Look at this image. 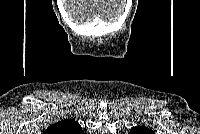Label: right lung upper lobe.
Wrapping results in <instances>:
<instances>
[{
	"instance_id": "cb5924a9",
	"label": "right lung upper lobe",
	"mask_w": 200,
	"mask_h": 134,
	"mask_svg": "<svg viewBox=\"0 0 200 134\" xmlns=\"http://www.w3.org/2000/svg\"><path fill=\"white\" fill-rule=\"evenodd\" d=\"M81 132V126L72 119L59 121L45 131L46 134H80Z\"/></svg>"
}]
</instances>
